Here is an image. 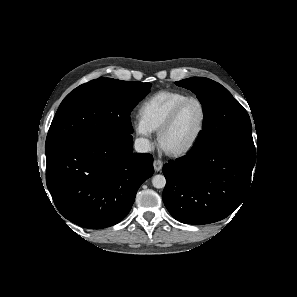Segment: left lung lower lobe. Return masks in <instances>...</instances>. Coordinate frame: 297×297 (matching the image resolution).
Returning <instances> with one entry per match:
<instances>
[{"instance_id": "left-lung-lower-lobe-1", "label": "left lung lower lobe", "mask_w": 297, "mask_h": 297, "mask_svg": "<svg viewBox=\"0 0 297 297\" xmlns=\"http://www.w3.org/2000/svg\"><path fill=\"white\" fill-rule=\"evenodd\" d=\"M256 151L217 144L191 151L163 166V201L186 224L224 219L244 201L251 184Z\"/></svg>"}]
</instances>
